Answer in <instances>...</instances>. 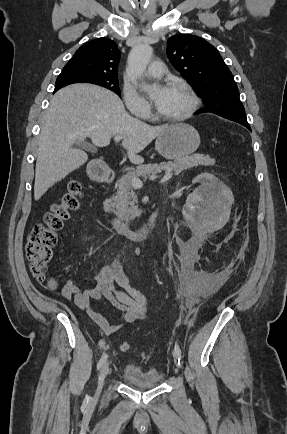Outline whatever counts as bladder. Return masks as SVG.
I'll list each match as a JSON object with an SVG mask.
<instances>
[{
	"mask_svg": "<svg viewBox=\"0 0 287 434\" xmlns=\"http://www.w3.org/2000/svg\"><path fill=\"white\" fill-rule=\"evenodd\" d=\"M123 381L138 388L155 387L161 384L162 374L154 367L143 368L136 363H129L121 372Z\"/></svg>",
	"mask_w": 287,
	"mask_h": 434,
	"instance_id": "31cf9c89",
	"label": "bladder"
}]
</instances>
